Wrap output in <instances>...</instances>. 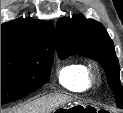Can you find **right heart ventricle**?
<instances>
[{
	"instance_id": "obj_1",
	"label": "right heart ventricle",
	"mask_w": 123,
	"mask_h": 113,
	"mask_svg": "<svg viewBox=\"0 0 123 113\" xmlns=\"http://www.w3.org/2000/svg\"><path fill=\"white\" fill-rule=\"evenodd\" d=\"M88 68L79 62H69L58 70V79L62 86L79 91L88 84Z\"/></svg>"
}]
</instances>
